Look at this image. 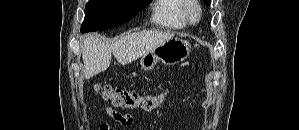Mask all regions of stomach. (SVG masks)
<instances>
[{
	"mask_svg": "<svg viewBox=\"0 0 299 130\" xmlns=\"http://www.w3.org/2000/svg\"><path fill=\"white\" fill-rule=\"evenodd\" d=\"M191 52V44L187 40L173 37L155 47L140 59L141 69L152 70L158 62L175 65L184 61Z\"/></svg>",
	"mask_w": 299,
	"mask_h": 130,
	"instance_id": "obj_1",
	"label": "stomach"
}]
</instances>
